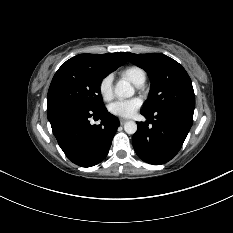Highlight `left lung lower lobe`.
<instances>
[{"label":"left lung lower lobe","mask_w":233,"mask_h":233,"mask_svg":"<svg viewBox=\"0 0 233 233\" xmlns=\"http://www.w3.org/2000/svg\"><path fill=\"white\" fill-rule=\"evenodd\" d=\"M141 114L148 120L137 123L132 143L138 157L146 163L161 165L181 149L193 124V114L179 109ZM152 124L149 125V124Z\"/></svg>","instance_id":"1"}]
</instances>
